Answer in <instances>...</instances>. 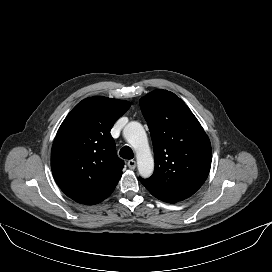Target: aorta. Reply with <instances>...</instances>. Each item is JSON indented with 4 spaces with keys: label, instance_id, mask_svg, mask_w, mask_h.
<instances>
[{
    "label": "aorta",
    "instance_id": "762f6f07",
    "mask_svg": "<svg viewBox=\"0 0 272 272\" xmlns=\"http://www.w3.org/2000/svg\"><path fill=\"white\" fill-rule=\"evenodd\" d=\"M123 135L136 152L140 176L143 178L150 177L154 170V161L143 126L136 121L129 122L124 127Z\"/></svg>",
    "mask_w": 272,
    "mask_h": 272
}]
</instances>
